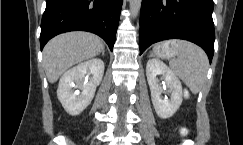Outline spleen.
I'll return each instance as SVG.
<instances>
[{"mask_svg": "<svg viewBox=\"0 0 243 145\" xmlns=\"http://www.w3.org/2000/svg\"><path fill=\"white\" fill-rule=\"evenodd\" d=\"M177 58L170 60L171 70L194 94L202 88L207 77L209 61L206 53L197 45L187 41H172Z\"/></svg>", "mask_w": 243, "mask_h": 145, "instance_id": "1", "label": "spleen"}]
</instances>
